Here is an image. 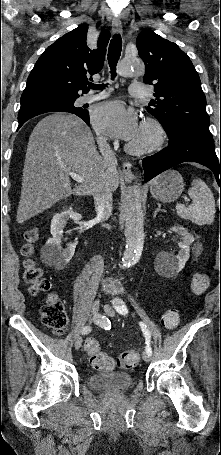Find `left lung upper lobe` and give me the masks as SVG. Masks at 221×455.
Wrapping results in <instances>:
<instances>
[{"label":"left lung upper lobe","instance_id":"1","mask_svg":"<svg viewBox=\"0 0 221 455\" xmlns=\"http://www.w3.org/2000/svg\"><path fill=\"white\" fill-rule=\"evenodd\" d=\"M139 56L145 63L144 83L154 85L147 111L162 124L169 138L183 128L209 130L206 98L189 57L173 42L143 30L136 39Z\"/></svg>","mask_w":221,"mask_h":455}]
</instances>
